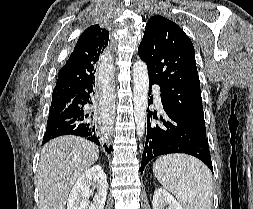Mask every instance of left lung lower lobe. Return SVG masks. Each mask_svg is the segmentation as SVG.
I'll list each match as a JSON object with an SVG mask.
<instances>
[{
	"instance_id": "0a47b994",
	"label": "left lung lower lobe",
	"mask_w": 253,
	"mask_h": 209,
	"mask_svg": "<svg viewBox=\"0 0 253 209\" xmlns=\"http://www.w3.org/2000/svg\"><path fill=\"white\" fill-rule=\"evenodd\" d=\"M155 83V81L149 79L150 92L151 85ZM152 103V97H150V100L148 99V107ZM162 105L165 114L160 117L161 122L159 124L151 123L150 120L152 118L157 119V113H152L148 109L147 137L142 154L141 174L150 160L157 156L170 153H185L195 156L203 161L213 172L206 135L187 126L163 104V101Z\"/></svg>"
}]
</instances>
